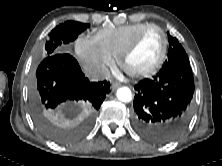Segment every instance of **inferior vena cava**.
I'll list each match as a JSON object with an SVG mask.
<instances>
[{
	"instance_id": "inferior-vena-cava-1",
	"label": "inferior vena cava",
	"mask_w": 222,
	"mask_h": 166,
	"mask_svg": "<svg viewBox=\"0 0 222 166\" xmlns=\"http://www.w3.org/2000/svg\"><path fill=\"white\" fill-rule=\"evenodd\" d=\"M85 75L93 81L110 78V72L106 67H88L84 70Z\"/></svg>"
}]
</instances>
